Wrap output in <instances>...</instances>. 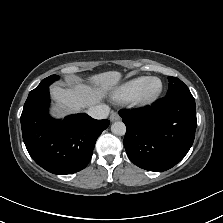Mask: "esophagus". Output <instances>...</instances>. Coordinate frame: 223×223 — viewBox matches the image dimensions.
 I'll list each match as a JSON object with an SVG mask.
<instances>
[{
  "mask_svg": "<svg viewBox=\"0 0 223 223\" xmlns=\"http://www.w3.org/2000/svg\"><path fill=\"white\" fill-rule=\"evenodd\" d=\"M110 120H111L112 122L120 120V116H119V114H118L117 112H113V113L110 115Z\"/></svg>",
  "mask_w": 223,
  "mask_h": 223,
  "instance_id": "obj_1",
  "label": "esophagus"
}]
</instances>
